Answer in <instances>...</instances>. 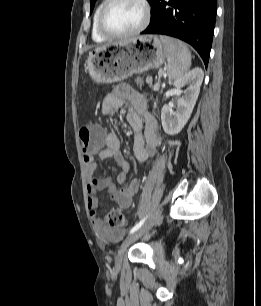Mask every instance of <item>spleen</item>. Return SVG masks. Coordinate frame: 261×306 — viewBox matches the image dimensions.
<instances>
[{"mask_svg":"<svg viewBox=\"0 0 261 306\" xmlns=\"http://www.w3.org/2000/svg\"><path fill=\"white\" fill-rule=\"evenodd\" d=\"M160 40L166 51L169 80H177L191 67V53L187 46L177 39L161 35Z\"/></svg>","mask_w":261,"mask_h":306,"instance_id":"1","label":"spleen"}]
</instances>
